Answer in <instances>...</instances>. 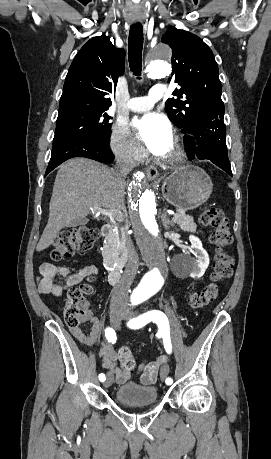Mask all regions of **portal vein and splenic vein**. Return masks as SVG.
I'll return each instance as SVG.
<instances>
[{
    "instance_id": "obj_1",
    "label": "portal vein and splenic vein",
    "mask_w": 271,
    "mask_h": 459,
    "mask_svg": "<svg viewBox=\"0 0 271 459\" xmlns=\"http://www.w3.org/2000/svg\"><path fill=\"white\" fill-rule=\"evenodd\" d=\"M92 214H102V216H108L111 218L113 210H103V208H91ZM173 217H180L181 215L178 212H175Z\"/></svg>"
}]
</instances>
